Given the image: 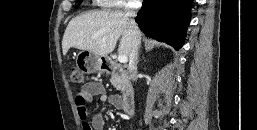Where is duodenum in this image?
I'll list each match as a JSON object with an SVG mask.
<instances>
[{
  "label": "duodenum",
  "mask_w": 257,
  "mask_h": 130,
  "mask_svg": "<svg viewBox=\"0 0 257 130\" xmlns=\"http://www.w3.org/2000/svg\"><path fill=\"white\" fill-rule=\"evenodd\" d=\"M102 68L107 73L125 77L124 70L110 59L103 60ZM120 108L126 116L131 115L134 109V91L130 83L126 80L123 83Z\"/></svg>",
  "instance_id": "1"
}]
</instances>
